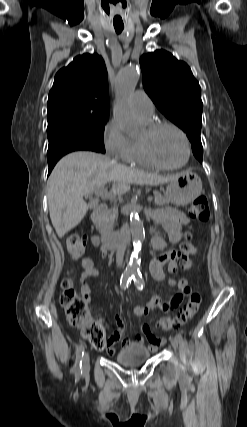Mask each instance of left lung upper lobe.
I'll return each instance as SVG.
<instances>
[{"label":"left lung upper lobe","mask_w":247,"mask_h":427,"mask_svg":"<svg viewBox=\"0 0 247 427\" xmlns=\"http://www.w3.org/2000/svg\"><path fill=\"white\" fill-rule=\"evenodd\" d=\"M140 66L145 91L157 108L186 133L194 156L202 162L201 88L189 66L164 50L142 55Z\"/></svg>","instance_id":"left-lung-upper-lobe-1"}]
</instances>
